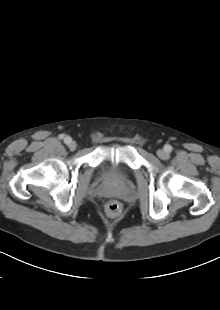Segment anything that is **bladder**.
Wrapping results in <instances>:
<instances>
[{"label":"bladder","mask_w":220,"mask_h":310,"mask_svg":"<svg viewBox=\"0 0 220 310\" xmlns=\"http://www.w3.org/2000/svg\"><path fill=\"white\" fill-rule=\"evenodd\" d=\"M106 175H107V177H111L112 176V174L110 172H107Z\"/></svg>","instance_id":"bladder-1"}]
</instances>
